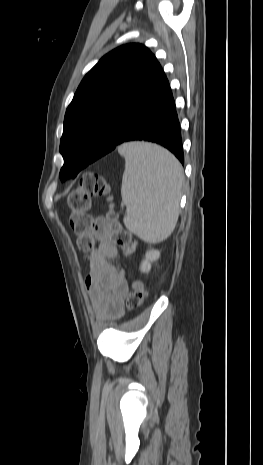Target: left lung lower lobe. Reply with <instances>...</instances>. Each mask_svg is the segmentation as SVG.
Masks as SVG:
<instances>
[{"instance_id": "0a47b994", "label": "left lung lower lobe", "mask_w": 263, "mask_h": 465, "mask_svg": "<svg viewBox=\"0 0 263 465\" xmlns=\"http://www.w3.org/2000/svg\"><path fill=\"white\" fill-rule=\"evenodd\" d=\"M134 140L160 144L184 164L175 102L168 80L158 62L146 75L135 97L119 108L112 128L103 138L93 157L84 160L69 155L64 159L60 174L75 176L118 145Z\"/></svg>"}]
</instances>
